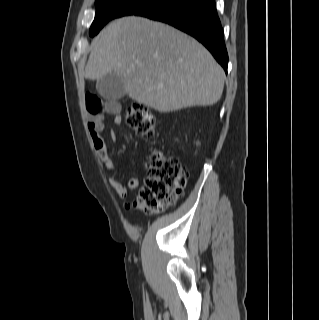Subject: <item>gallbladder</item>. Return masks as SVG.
<instances>
[{
	"instance_id": "bac80fb5",
	"label": "gallbladder",
	"mask_w": 319,
	"mask_h": 320,
	"mask_svg": "<svg viewBox=\"0 0 319 320\" xmlns=\"http://www.w3.org/2000/svg\"><path fill=\"white\" fill-rule=\"evenodd\" d=\"M98 93L106 100L115 101L126 95L123 78L110 73L96 83Z\"/></svg>"
}]
</instances>
